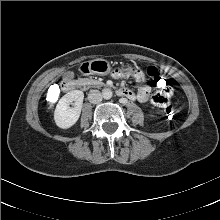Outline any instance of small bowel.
I'll use <instances>...</instances> for the list:
<instances>
[{
    "label": "small bowel",
    "mask_w": 220,
    "mask_h": 220,
    "mask_svg": "<svg viewBox=\"0 0 220 220\" xmlns=\"http://www.w3.org/2000/svg\"><path fill=\"white\" fill-rule=\"evenodd\" d=\"M111 75L113 77H120L124 75H129L131 78H135V81L138 85V90L136 93L133 91L126 89L129 92L128 99L130 100H138L141 103H145L151 101L155 103V97L161 96L165 99H169L173 95L172 87L166 83V86L158 90V92L154 95H151V90L144 84V75L142 73V68L139 64H119L117 66H113L111 68Z\"/></svg>",
    "instance_id": "small-bowel-1"
}]
</instances>
